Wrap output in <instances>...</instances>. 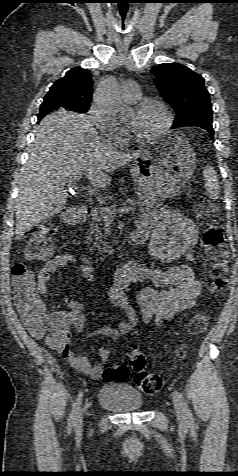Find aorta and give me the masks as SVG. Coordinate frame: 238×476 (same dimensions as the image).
<instances>
[{
	"label": "aorta",
	"mask_w": 238,
	"mask_h": 476,
	"mask_svg": "<svg viewBox=\"0 0 238 476\" xmlns=\"http://www.w3.org/2000/svg\"><path fill=\"white\" fill-rule=\"evenodd\" d=\"M96 103L112 120H118L129 112V108L121 100L118 85L113 77L102 81L96 94Z\"/></svg>",
	"instance_id": "1"
}]
</instances>
